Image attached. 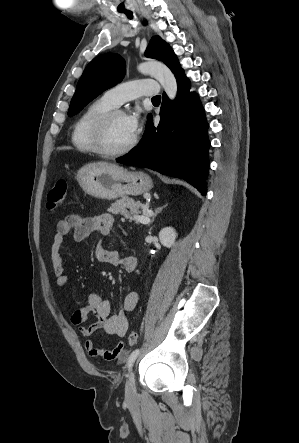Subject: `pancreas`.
Listing matches in <instances>:
<instances>
[{"mask_svg": "<svg viewBox=\"0 0 299 443\" xmlns=\"http://www.w3.org/2000/svg\"><path fill=\"white\" fill-rule=\"evenodd\" d=\"M108 212L115 215L121 214L126 219L134 221L135 224H139V220L135 218V216H140V204L135 203L132 198L127 196H124L111 204L110 208H108Z\"/></svg>", "mask_w": 299, "mask_h": 443, "instance_id": "1", "label": "pancreas"}]
</instances>
